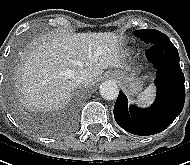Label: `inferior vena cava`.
Wrapping results in <instances>:
<instances>
[{
  "label": "inferior vena cava",
  "instance_id": "obj_1",
  "mask_svg": "<svg viewBox=\"0 0 190 165\" xmlns=\"http://www.w3.org/2000/svg\"><path fill=\"white\" fill-rule=\"evenodd\" d=\"M73 79L76 84L88 85L92 82V75L86 70H78L74 73Z\"/></svg>",
  "mask_w": 190,
  "mask_h": 165
}]
</instances>
